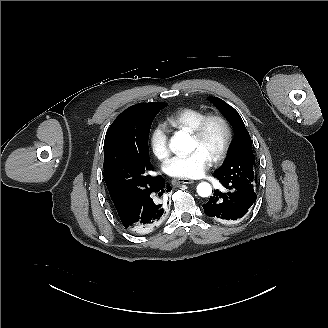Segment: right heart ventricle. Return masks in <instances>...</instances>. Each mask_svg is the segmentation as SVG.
<instances>
[{
  "label": "right heart ventricle",
  "instance_id": "obj_1",
  "mask_svg": "<svg viewBox=\"0 0 328 328\" xmlns=\"http://www.w3.org/2000/svg\"><path fill=\"white\" fill-rule=\"evenodd\" d=\"M206 115V112L199 108H185L170 114L167 117L168 123L180 130L190 131Z\"/></svg>",
  "mask_w": 328,
  "mask_h": 328
}]
</instances>
